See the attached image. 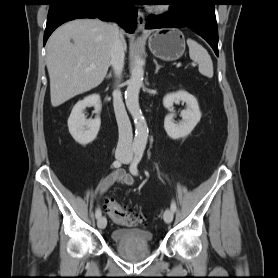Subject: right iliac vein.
Instances as JSON below:
<instances>
[{"instance_id":"right-iliac-vein-1","label":"right iliac vein","mask_w":278,"mask_h":278,"mask_svg":"<svg viewBox=\"0 0 278 278\" xmlns=\"http://www.w3.org/2000/svg\"><path fill=\"white\" fill-rule=\"evenodd\" d=\"M116 158L119 160H124L126 158V154L123 152H119L116 154ZM97 225L100 229H104L107 225V220L105 217L98 218Z\"/></svg>"}]
</instances>
